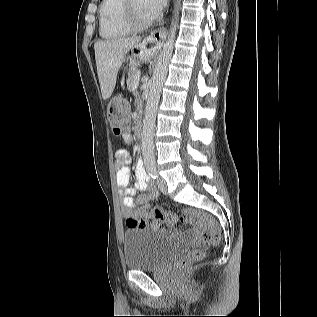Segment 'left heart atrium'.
<instances>
[{"label": "left heart atrium", "mask_w": 317, "mask_h": 317, "mask_svg": "<svg viewBox=\"0 0 317 317\" xmlns=\"http://www.w3.org/2000/svg\"><path fill=\"white\" fill-rule=\"evenodd\" d=\"M167 0H144L145 9L150 19H155L166 5Z\"/></svg>", "instance_id": "obj_1"}]
</instances>
